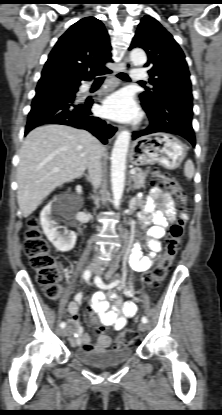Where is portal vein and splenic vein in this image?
<instances>
[{"label": "portal vein and splenic vein", "mask_w": 222, "mask_h": 415, "mask_svg": "<svg viewBox=\"0 0 222 415\" xmlns=\"http://www.w3.org/2000/svg\"><path fill=\"white\" fill-rule=\"evenodd\" d=\"M130 173H131V174H135V173H136L135 169H131V170H130Z\"/></svg>", "instance_id": "1"}]
</instances>
